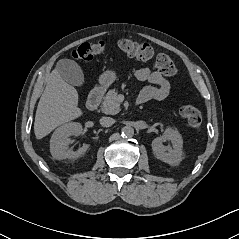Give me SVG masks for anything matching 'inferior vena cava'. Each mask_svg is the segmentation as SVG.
Returning a JSON list of instances; mask_svg holds the SVG:
<instances>
[{
	"mask_svg": "<svg viewBox=\"0 0 239 239\" xmlns=\"http://www.w3.org/2000/svg\"><path fill=\"white\" fill-rule=\"evenodd\" d=\"M115 123V120L111 117H102L100 119V124L103 127H110Z\"/></svg>",
	"mask_w": 239,
	"mask_h": 239,
	"instance_id": "602c4592",
	"label": "inferior vena cava"
}]
</instances>
